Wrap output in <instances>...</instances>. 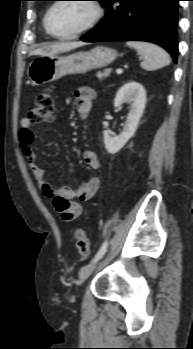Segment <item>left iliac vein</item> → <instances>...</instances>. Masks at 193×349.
<instances>
[{"mask_svg": "<svg viewBox=\"0 0 193 349\" xmlns=\"http://www.w3.org/2000/svg\"><path fill=\"white\" fill-rule=\"evenodd\" d=\"M99 261H95L89 265H86L85 267H83L81 270H80V273H79V278H80V284L86 280L91 274L92 272L95 270V268L97 267Z\"/></svg>", "mask_w": 193, "mask_h": 349, "instance_id": "obj_1", "label": "left iliac vein"}]
</instances>
